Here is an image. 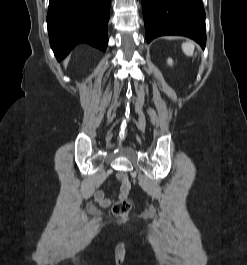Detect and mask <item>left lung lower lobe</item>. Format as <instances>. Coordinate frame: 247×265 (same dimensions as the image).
Masks as SVG:
<instances>
[{"label":"left lung lower lobe","mask_w":247,"mask_h":265,"mask_svg":"<svg viewBox=\"0 0 247 265\" xmlns=\"http://www.w3.org/2000/svg\"><path fill=\"white\" fill-rule=\"evenodd\" d=\"M142 8L148 43L162 35H181L205 47L202 0H142Z\"/></svg>","instance_id":"1"}]
</instances>
